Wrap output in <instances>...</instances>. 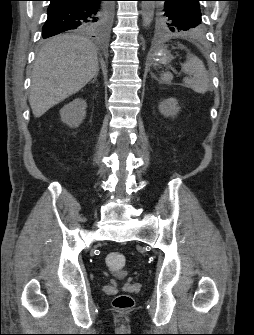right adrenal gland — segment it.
<instances>
[{
	"label": "right adrenal gland",
	"instance_id": "1",
	"mask_svg": "<svg viewBox=\"0 0 254 335\" xmlns=\"http://www.w3.org/2000/svg\"><path fill=\"white\" fill-rule=\"evenodd\" d=\"M97 80V75L94 76L92 83H94Z\"/></svg>",
	"mask_w": 254,
	"mask_h": 335
}]
</instances>
